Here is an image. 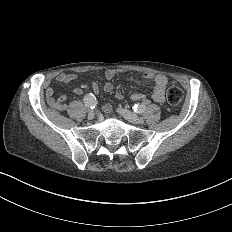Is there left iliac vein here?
<instances>
[{
    "label": "left iliac vein",
    "mask_w": 232,
    "mask_h": 232,
    "mask_svg": "<svg viewBox=\"0 0 232 232\" xmlns=\"http://www.w3.org/2000/svg\"><path fill=\"white\" fill-rule=\"evenodd\" d=\"M118 113L123 116L125 120H128L132 123H139L142 124L144 122V119L142 117H138L137 113H134L133 111H128L127 109H119Z\"/></svg>",
    "instance_id": "4c4485c4"
}]
</instances>
